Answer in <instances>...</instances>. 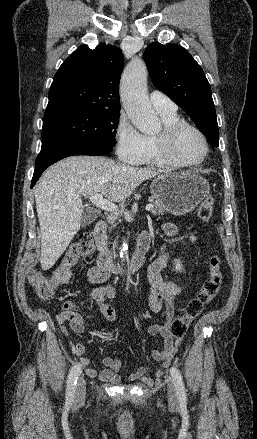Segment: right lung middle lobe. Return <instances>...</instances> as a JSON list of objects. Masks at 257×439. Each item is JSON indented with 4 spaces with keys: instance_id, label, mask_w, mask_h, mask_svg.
Here are the masks:
<instances>
[{
    "instance_id": "dd1d6c3e",
    "label": "right lung middle lobe",
    "mask_w": 257,
    "mask_h": 439,
    "mask_svg": "<svg viewBox=\"0 0 257 439\" xmlns=\"http://www.w3.org/2000/svg\"><path fill=\"white\" fill-rule=\"evenodd\" d=\"M120 110L77 109L43 119L42 147L86 143L113 148Z\"/></svg>"
}]
</instances>
